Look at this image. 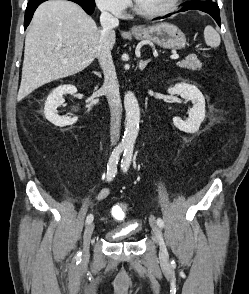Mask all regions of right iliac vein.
<instances>
[{
    "label": "right iliac vein",
    "instance_id": "63e3f726",
    "mask_svg": "<svg viewBox=\"0 0 249 294\" xmlns=\"http://www.w3.org/2000/svg\"><path fill=\"white\" fill-rule=\"evenodd\" d=\"M94 230V223H89L84 231L83 236V250H82V261L87 262L89 260V247L90 241L92 237V233Z\"/></svg>",
    "mask_w": 249,
    "mask_h": 294
}]
</instances>
